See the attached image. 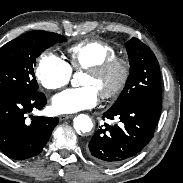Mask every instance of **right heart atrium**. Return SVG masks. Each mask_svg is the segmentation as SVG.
Returning <instances> with one entry per match:
<instances>
[{
	"label": "right heart atrium",
	"mask_w": 183,
	"mask_h": 183,
	"mask_svg": "<svg viewBox=\"0 0 183 183\" xmlns=\"http://www.w3.org/2000/svg\"><path fill=\"white\" fill-rule=\"evenodd\" d=\"M72 71L67 62L53 51L43 52L37 60L35 76L40 85L50 91L64 87Z\"/></svg>",
	"instance_id": "obj_1"
}]
</instances>
